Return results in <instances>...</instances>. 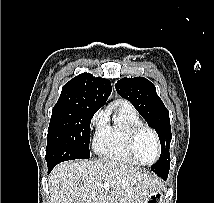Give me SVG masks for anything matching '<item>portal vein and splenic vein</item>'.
Wrapping results in <instances>:
<instances>
[{
  "label": "portal vein and splenic vein",
  "mask_w": 214,
  "mask_h": 203,
  "mask_svg": "<svg viewBox=\"0 0 214 203\" xmlns=\"http://www.w3.org/2000/svg\"><path fill=\"white\" fill-rule=\"evenodd\" d=\"M103 188H104L106 191H109V189H110L109 183H108V182H105V183L103 184Z\"/></svg>",
  "instance_id": "18ae733b"
}]
</instances>
